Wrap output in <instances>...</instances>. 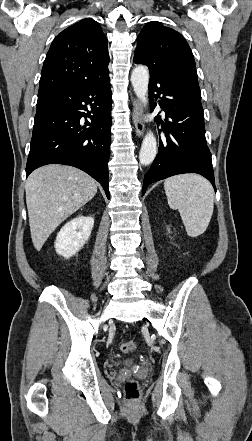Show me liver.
Listing matches in <instances>:
<instances>
[{
    "label": "liver",
    "mask_w": 252,
    "mask_h": 441,
    "mask_svg": "<svg viewBox=\"0 0 252 441\" xmlns=\"http://www.w3.org/2000/svg\"><path fill=\"white\" fill-rule=\"evenodd\" d=\"M25 191L31 239L39 251L66 218L95 196L97 184L75 167L52 164L33 171Z\"/></svg>",
    "instance_id": "liver-1"
}]
</instances>
